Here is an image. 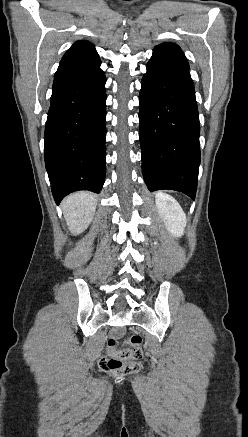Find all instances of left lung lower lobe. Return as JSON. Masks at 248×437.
Here are the masks:
<instances>
[{
	"mask_svg": "<svg viewBox=\"0 0 248 437\" xmlns=\"http://www.w3.org/2000/svg\"><path fill=\"white\" fill-rule=\"evenodd\" d=\"M139 96L142 172L150 191L193 200L200 164V123L189 69L150 60Z\"/></svg>",
	"mask_w": 248,
	"mask_h": 437,
	"instance_id": "1",
	"label": "left lung lower lobe"
}]
</instances>
